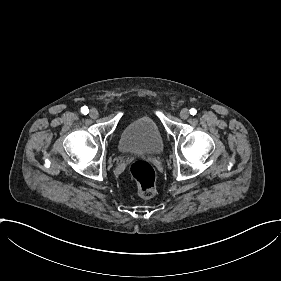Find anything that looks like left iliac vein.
I'll return each instance as SVG.
<instances>
[{"instance_id":"4c4485c4","label":"left iliac vein","mask_w":281,"mask_h":281,"mask_svg":"<svg viewBox=\"0 0 281 281\" xmlns=\"http://www.w3.org/2000/svg\"><path fill=\"white\" fill-rule=\"evenodd\" d=\"M180 114H181V115H180L181 118L185 120V119H187L188 116H189V111H188V109L183 108V109H181Z\"/></svg>"}]
</instances>
